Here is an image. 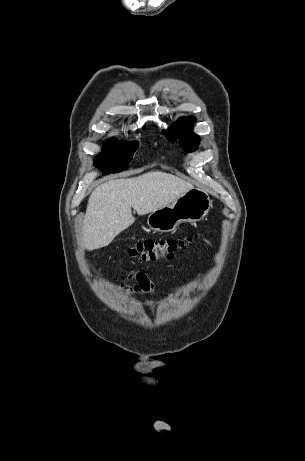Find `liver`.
Here are the masks:
<instances>
[{"mask_svg":"<svg viewBox=\"0 0 305 461\" xmlns=\"http://www.w3.org/2000/svg\"><path fill=\"white\" fill-rule=\"evenodd\" d=\"M191 189V183L161 171L99 185L87 204L82 227L84 246L88 250L108 246L134 223L131 208L138 215H145L169 205Z\"/></svg>","mask_w":305,"mask_h":461,"instance_id":"6515ba94","label":"liver"}]
</instances>
